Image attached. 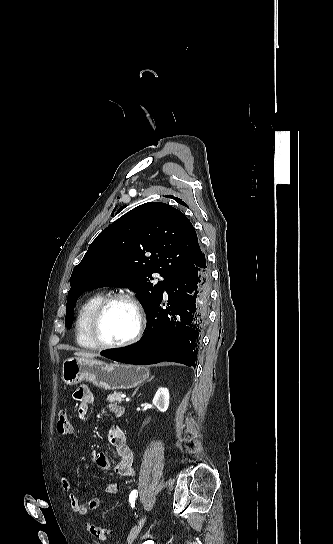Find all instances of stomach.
Returning <instances> with one entry per match:
<instances>
[{
    "instance_id": "obj_1",
    "label": "stomach",
    "mask_w": 333,
    "mask_h": 544,
    "mask_svg": "<svg viewBox=\"0 0 333 544\" xmlns=\"http://www.w3.org/2000/svg\"><path fill=\"white\" fill-rule=\"evenodd\" d=\"M149 377L145 366L105 362L95 359L69 358L62 365V380L67 385L89 381L105 390L129 389Z\"/></svg>"
}]
</instances>
